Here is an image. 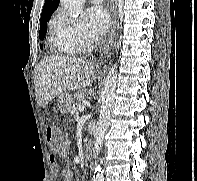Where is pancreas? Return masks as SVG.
I'll return each mask as SVG.
<instances>
[{"label":"pancreas","mask_w":197,"mask_h":181,"mask_svg":"<svg viewBox=\"0 0 197 181\" xmlns=\"http://www.w3.org/2000/svg\"><path fill=\"white\" fill-rule=\"evenodd\" d=\"M82 94H83L82 92L76 94V99H75V101H73V103H72V105L70 107V111H69L71 116L76 117L78 115V112H79V110H78L79 107L83 106V103H82V101L80 99Z\"/></svg>","instance_id":"1"}]
</instances>
